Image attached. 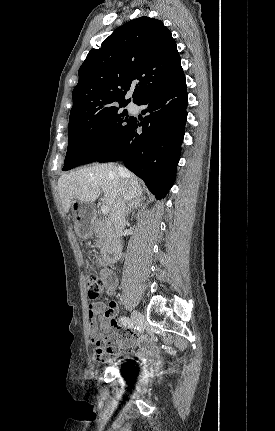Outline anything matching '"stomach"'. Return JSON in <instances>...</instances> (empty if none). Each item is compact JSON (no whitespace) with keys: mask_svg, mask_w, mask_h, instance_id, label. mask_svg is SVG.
Returning a JSON list of instances; mask_svg holds the SVG:
<instances>
[{"mask_svg":"<svg viewBox=\"0 0 275 431\" xmlns=\"http://www.w3.org/2000/svg\"><path fill=\"white\" fill-rule=\"evenodd\" d=\"M71 212L74 216L75 230L81 238H89L95 230L93 208L89 203L73 200Z\"/></svg>","mask_w":275,"mask_h":431,"instance_id":"0dacf381","label":"stomach"}]
</instances>
